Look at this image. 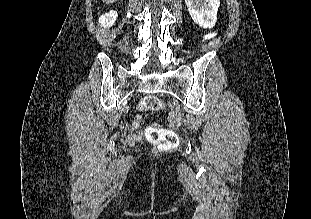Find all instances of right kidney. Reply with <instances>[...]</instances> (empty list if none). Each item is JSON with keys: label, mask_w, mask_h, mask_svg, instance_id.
<instances>
[{"label": "right kidney", "mask_w": 311, "mask_h": 219, "mask_svg": "<svg viewBox=\"0 0 311 219\" xmlns=\"http://www.w3.org/2000/svg\"><path fill=\"white\" fill-rule=\"evenodd\" d=\"M117 16L118 14L116 11H110L109 13H105L99 18V23L104 28L111 27L112 25H114Z\"/></svg>", "instance_id": "right-kidney-1"}]
</instances>
